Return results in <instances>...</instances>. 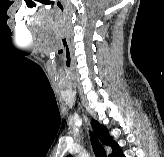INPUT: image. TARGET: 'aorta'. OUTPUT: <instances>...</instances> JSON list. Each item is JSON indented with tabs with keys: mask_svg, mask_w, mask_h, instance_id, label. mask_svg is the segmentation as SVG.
Here are the masks:
<instances>
[{
	"mask_svg": "<svg viewBox=\"0 0 164 157\" xmlns=\"http://www.w3.org/2000/svg\"><path fill=\"white\" fill-rule=\"evenodd\" d=\"M79 157H88V154L83 153V154H80Z\"/></svg>",
	"mask_w": 164,
	"mask_h": 157,
	"instance_id": "aorta-1",
	"label": "aorta"
}]
</instances>
